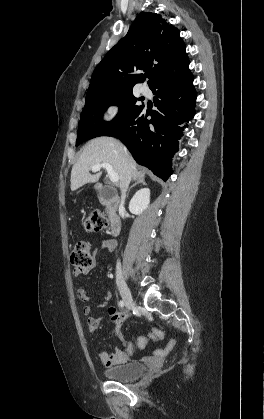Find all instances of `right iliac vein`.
Returning a JSON list of instances; mask_svg holds the SVG:
<instances>
[{"label": "right iliac vein", "instance_id": "1", "mask_svg": "<svg viewBox=\"0 0 264 419\" xmlns=\"http://www.w3.org/2000/svg\"><path fill=\"white\" fill-rule=\"evenodd\" d=\"M117 286L127 308L129 309L133 308L135 306V302L132 298V295L130 293V290L127 284L123 280L119 279L117 281Z\"/></svg>", "mask_w": 264, "mask_h": 419}]
</instances>
